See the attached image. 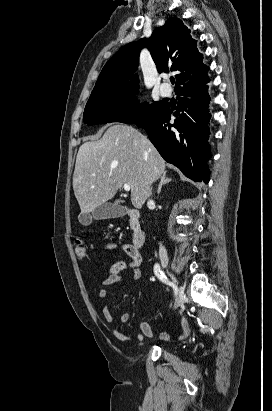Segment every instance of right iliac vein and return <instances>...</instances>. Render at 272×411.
Listing matches in <instances>:
<instances>
[{
  "mask_svg": "<svg viewBox=\"0 0 272 411\" xmlns=\"http://www.w3.org/2000/svg\"><path fill=\"white\" fill-rule=\"evenodd\" d=\"M164 267H167V262L163 263ZM183 304V289L180 287L177 292L175 308L180 307Z\"/></svg>",
  "mask_w": 272,
  "mask_h": 411,
  "instance_id": "obj_1",
  "label": "right iliac vein"
}]
</instances>
